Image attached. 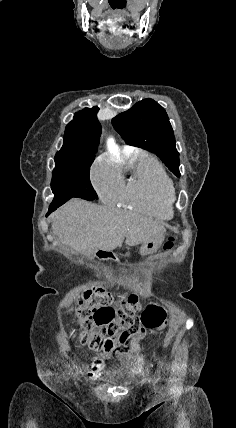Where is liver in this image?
Returning <instances> with one entry per match:
<instances>
[{
    "mask_svg": "<svg viewBox=\"0 0 236 428\" xmlns=\"http://www.w3.org/2000/svg\"><path fill=\"white\" fill-rule=\"evenodd\" d=\"M51 228L62 244L84 256L110 252L123 242L138 246L166 232L159 222L132 212H117L85 200H70L51 216Z\"/></svg>",
    "mask_w": 236,
    "mask_h": 428,
    "instance_id": "1",
    "label": "liver"
}]
</instances>
